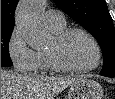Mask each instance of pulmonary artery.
<instances>
[{"instance_id": "obj_1", "label": "pulmonary artery", "mask_w": 115, "mask_h": 99, "mask_svg": "<svg viewBox=\"0 0 115 99\" xmlns=\"http://www.w3.org/2000/svg\"><path fill=\"white\" fill-rule=\"evenodd\" d=\"M44 19L48 26L61 27L65 25V17L58 10H47Z\"/></svg>"}]
</instances>
